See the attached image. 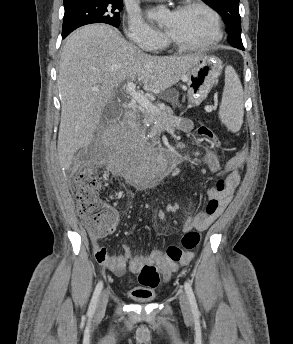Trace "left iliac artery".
Wrapping results in <instances>:
<instances>
[{"label": "left iliac artery", "mask_w": 293, "mask_h": 344, "mask_svg": "<svg viewBox=\"0 0 293 344\" xmlns=\"http://www.w3.org/2000/svg\"><path fill=\"white\" fill-rule=\"evenodd\" d=\"M184 288L190 302L192 313L196 317L198 316L199 312L191 284L188 281H186L184 283Z\"/></svg>", "instance_id": "left-iliac-artery-1"}]
</instances>
